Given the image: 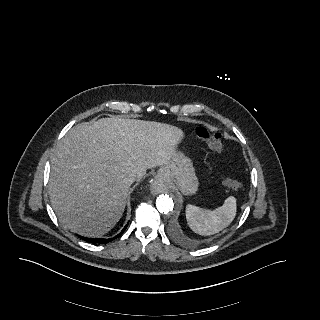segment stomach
Wrapping results in <instances>:
<instances>
[{
  "mask_svg": "<svg viewBox=\"0 0 320 320\" xmlns=\"http://www.w3.org/2000/svg\"><path fill=\"white\" fill-rule=\"evenodd\" d=\"M158 179L167 187L178 189L184 195L195 194L198 179L191 160L183 153L175 151L170 160L157 172Z\"/></svg>",
  "mask_w": 320,
  "mask_h": 320,
  "instance_id": "0dacf381",
  "label": "stomach"
}]
</instances>
